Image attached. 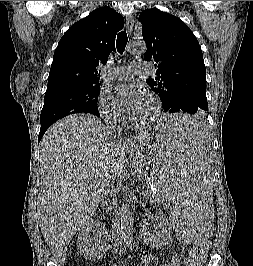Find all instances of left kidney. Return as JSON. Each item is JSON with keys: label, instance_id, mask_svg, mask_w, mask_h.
Listing matches in <instances>:
<instances>
[{"label": "left kidney", "instance_id": "obj_1", "mask_svg": "<svg viewBox=\"0 0 253 266\" xmlns=\"http://www.w3.org/2000/svg\"><path fill=\"white\" fill-rule=\"evenodd\" d=\"M157 221L161 227V231L156 233H150L144 231L143 236L145 241L158 247L167 244L171 240L170 225L168 220L160 215L157 217Z\"/></svg>", "mask_w": 253, "mask_h": 266}]
</instances>
